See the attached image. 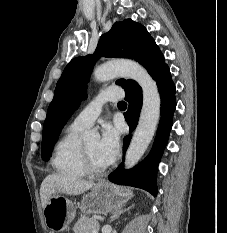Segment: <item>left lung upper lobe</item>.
Wrapping results in <instances>:
<instances>
[{"mask_svg":"<svg viewBox=\"0 0 227 233\" xmlns=\"http://www.w3.org/2000/svg\"><path fill=\"white\" fill-rule=\"evenodd\" d=\"M101 55L108 58L134 59L142 64L154 79L167 67L163 54L144 26L131 19L114 23L111 30L102 35L95 53L72 59L58 80L43 127L44 160L51 156L63 126L81 100L87 97L86 84L96 60ZM116 84L122 86L126 92L140 88L133 80L120 79Z\"/></svg>","mask_w":227,"mask_h":233,"instance_id":"obj_1","label":"left lung upper lobe"}]
</instances>
